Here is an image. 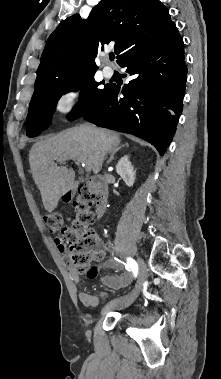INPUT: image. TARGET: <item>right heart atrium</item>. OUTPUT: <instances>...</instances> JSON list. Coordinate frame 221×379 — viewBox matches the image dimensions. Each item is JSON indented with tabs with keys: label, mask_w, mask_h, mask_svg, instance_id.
<instances>
[{
	"label": "right heart atrium",
	"mask_w": 221,
	"mask_h": 379,
	"mask_svg": "<svg viewBox=\"0 0 221 379\" xmlns=\"http://www.w3.org/2000/svg\"><path fill=\"white\" fill-rule=\"evenodd\" d=\"M81 96V89L76 85L63 88L55 97L54 111L60 117L69 116L75 109Z\"/></svg>",
	"instance_id": "1"
}]
</instances>
